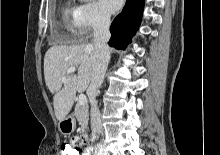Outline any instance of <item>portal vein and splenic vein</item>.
<instances>
[{
	"mask_svg": "<svg viewBox=\"0 0 220 155\" xmlns=\"http://www.w3.org/2000/svg\"><path fill=\"white\" fill-rule=\"evenodd\" d=\"M76 71V68L75 67H71V68H69L68 70H67V74H70V73H73V72H75ZM66 81V77H63L62 78V82H65ZM78 103L80 104V105H85L86 103H87V98H86V96L84 95V94H80L79 95V100H78Z\"/></svg>",
	"mask_w": 220,
	"mask_h": 155,
	"instance_id": "portal-vein-and-splenic-vein-1",
	"label": "portal vein and splenic vein"
}]
</instances>
